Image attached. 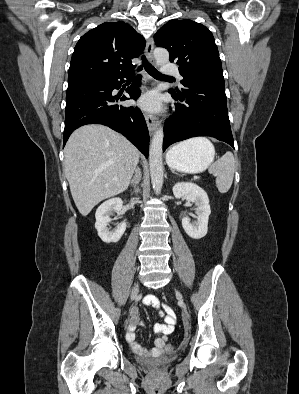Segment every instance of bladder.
I'll use <instances>...</instances> for the list:
<instances>
[{
    "instance_id": "obj_1",
    "label": "bladder",
    "mask_w": 299,
    "mask_h": 394,
    "mask_svg": "<svg viewBox=\"0 0 299 394\" xmlns=\"http://www.w3.org/2000/svg\"><path fill=\"white\" fill-rule=\"evenodd\" d=\"M173 361L172 356H161L155 359H139V363L148 369H156L164 367Z\"/></svg>"
}]
</instances>
